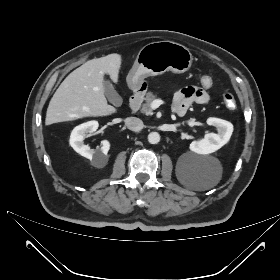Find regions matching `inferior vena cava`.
<instances>
[{
  "instance_id": "602c4592",
  "label": "inferior vena cava",
  "mask_w": 280,
  "mask_h": 280,
  "mask_svg": "<svg viewBox=\"0 0 280 280\" xmlns=\"http://www.w3.org/2000/svg\"><path fill=\"white\" fill-rule=\"evenodd\" d=\"M126 126L135 132H139L143 129L144 124L143 121L136 117H128L125 119Z\"/></svg>"
}]
</instances>
